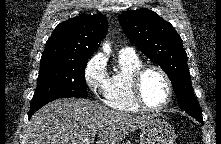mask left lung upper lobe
Masks as SVG:
<instances>
[{"instance_id": "5c2ea615", "label": "left lung upper lobe", "mask_w": 221, "mask_h": 144, "mask_svg": "<svg viewBox=\"0 0 221 144\" xmlns=\"http://www.w3.org/2000/svg\"><path fill=\"white\" fill-rule=\"evenodd\" d=\"M119 22L128 39L168 75L179 107L191 116L202 117L192 91L182 39L173 26L147 8L126 11L119 15Z\"/></svg>"}]
</instances>
